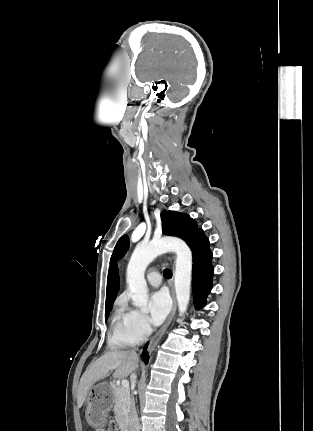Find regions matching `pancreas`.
<instances>
[{
  "instance_id": "obj_1",
  "label": "pancreas",
  "mask_w": 313,
  "mask_h": 431,
  "mask_svg": "<svg viewBox=\"0 0 313 431\" xmlns=\"http://www.w3.org/2000/svg\"><path fill=\"white\" fill-rule=\"evenodd\" d=\"M130 409V394L123 387L114 388V414L117 423L121 426L125 422Z\"/></svg>"
}]
</instances>
